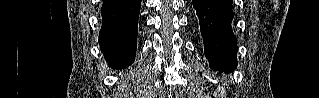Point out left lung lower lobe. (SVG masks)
<instances>
[{
  "instance_id": "1",
  "label": "left lung lower lobe",
  "mask_w": 319,
  "mask_h": 98,
  "mask_svg": "<svg viewBox=\"0 0 319 98\" xmlns=\"http://www.w3.org/2000/svg\"><path fill=\"white\" fill-rule=\"evenodd\" d=\"M192 3L210 67L214 71H233L237 66V44L232 31V0H192Z\"/></svg>"
}]
</instances>
